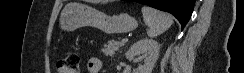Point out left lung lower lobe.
<instances>
[{
  "label": "left lung lower lobe",
  "mask_w": 244,
  "mask_h": 73,
  "mask_svg": "<svg viewBox=\"0 0 244 73\" xmlns=\"http://www.w3.org/2000/svg\"><path fill=\"white\" fill-rule=\"evenodd\" d=\"M129 1H135L162 11L169 12L179 20L183 28L191 17L194 3L196 0H129Z\"/></svg>",
  "instance_id": "1"
}]
</instances>
